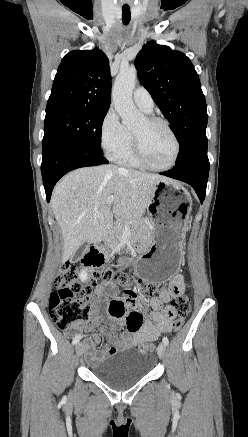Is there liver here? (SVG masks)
<instances>
[{
	"mask_svg": "<svg viewBox=\"0 0 248 437\" xmlns=\"http://www.w3.org/2000/svg\"><path fill=\"white\" fill-rule=\"evenodd\" d=\"M170 179L113 165L84 167L70 172L55 186L51 206L63 236V262L85 242L103 241L113 228V216L142 217L155 185ZM114 196L113 209L107 198Z\"/></svg>",
	"mask_w": 248,
	"mask_h": 437,
	"instance_id": "obj_1",
	"label": "liver"
}]
</instances>
